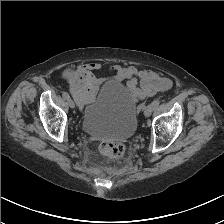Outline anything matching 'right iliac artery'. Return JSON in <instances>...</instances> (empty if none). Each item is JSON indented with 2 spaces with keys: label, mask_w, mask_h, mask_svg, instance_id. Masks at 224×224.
Listing matches in <instances>:
<instances>
[{
  "label": "right iliac artery",
  "mask_w": 224,
  "mask_h": 224,
  "mask_svg": "<svg viewBox=\"0 0 224 224\" xmlns=\"http://www.w3.org/2000/svg\"><path fill=\"white\" fill-rule=\"evenodd\" d=\"M62 96L65 100H68L69 99V94L67 92H63L62 93Z\"/></svg>",
  "instance_id": "obj_1"
}]
</instances>
